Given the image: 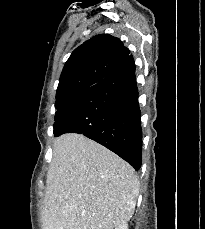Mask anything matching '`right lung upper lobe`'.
I'll return each mask as SVG.
<instances>
[{
	"mask_svg": "<svg viewBox=\"0 0 205 229\" xmlns=\"http://www.w3.org/2000/svg\"><path fill=\"white\" fill-rule=\"evenodd\" d=\"M130 51L118 39L99 34L76 48L66 61L56 92V106L72 99L119 68Z\"/></svg>",
	"mask_w": 205,
	"mask_h": 229,
	"instance_id": "1",
	"label": "right lung upper lobe"
}]
</instances>
